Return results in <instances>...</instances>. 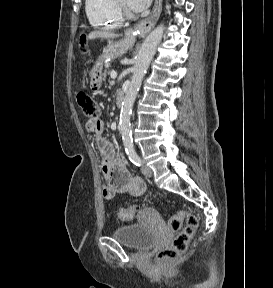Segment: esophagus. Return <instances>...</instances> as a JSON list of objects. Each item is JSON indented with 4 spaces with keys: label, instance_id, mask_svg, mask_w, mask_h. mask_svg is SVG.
Listing matches in <instances>:
<instances>
[{
    "label": "esophagus",
    "instance_id": "34e87169",
    "mask_svg": "<svg viewBox=\"0 0 273 288\" xmlns=\"http://www.w3.org/2000/svg\"><path fill=\"white\" fill-rule=\"evenodd\" d=\"M162 11V0H155L151 15L133 28L126 30V34L135 36L148 33L156 24Z\"/></svg>",
    "mask_w": 273,
    "mask_h": 288
}]
</instances>
